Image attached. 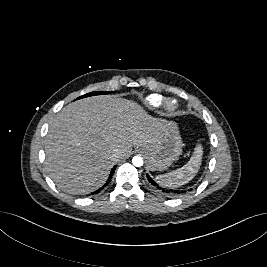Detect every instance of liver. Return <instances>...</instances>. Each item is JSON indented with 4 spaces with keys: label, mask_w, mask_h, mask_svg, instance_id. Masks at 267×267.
Returning a JSON list of instances; mask_svg holds the SVG:
<instances>
[{
    "label": "liver",
    "mask_w": 267,
    "mask_h": 267,
    "mask_svg": "<svg viewBox=\"0 0 267 267\" xmlns=\"http://www.w3.org/2000/svg\"><path fill=\"white\" fill-rule=\"evenodd\" d=\"M163 129L136 102L112 95L94 96L65 106L51 121L45 139L46 169L57 186L70 194L100 188L111 168L132 153L150 147ZM120 149L118 158L112 156Z\"/></svg>",
    "instance_id": "liver-1"
}]
</instances>
